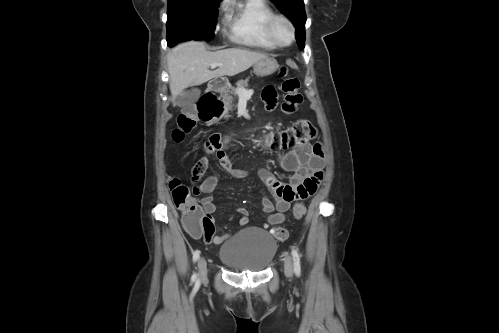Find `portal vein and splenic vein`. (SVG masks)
<instances>
[{"mask_svg": "<svg viewBox=\"0 0 499 333\" xmlns=\"http://www.w3.org/2000/svg\"><path fill=\"white\" fill-rule=\"evenodd\" d=\"M219 66H222V64L221 63H212L211 64V68L212 69H215L216 67H219ZM236 94L240 98H250L251 95L253 94V91L252 90H246L245 88H237L236 89Z\"/></svg>", "mask_w": 499, "mask_h": 333, "instance_id": "18ae733b", "label": "portal vein and splenic vein"}]
</instances>
